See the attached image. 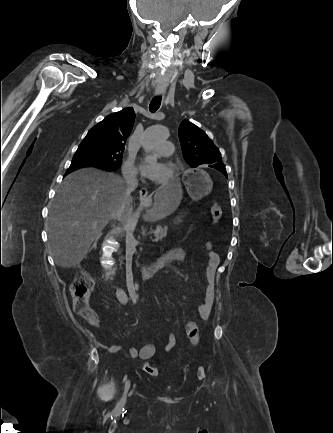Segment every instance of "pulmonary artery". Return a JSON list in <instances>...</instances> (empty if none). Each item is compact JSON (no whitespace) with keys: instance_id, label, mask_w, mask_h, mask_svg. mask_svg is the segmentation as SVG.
Returning a JSON list of instances; mask_svg holds the SVG:
<instances>
[{"instance_id":"obj_1","label":"pulmonary artery","mask_w":333,"mask_h":433,"mask_svg":"<svg viewBox=\"0 0 333 433\" xmlns=\"http://www.w3.org/2000/svg\"><path fill=\"white\" fill-rule=\"evenodd\" d=\"M153 152L163 156H169L173 153V144L170 141L163 140L159 142L153 149Z\"/></svg>"}]
</instances>
